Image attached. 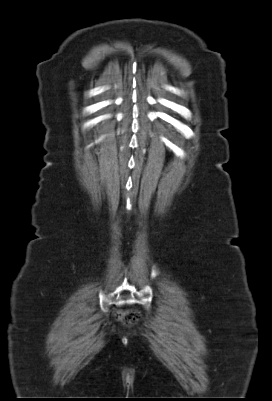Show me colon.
<instances>
[{
  "label": "colon",
  "instance_id": "obj_1",
  "mask_svg": "<svg viewBox=\"0 0 272 401\" xmlns=\"http://www.w3.org/2000/svg\"><path fill=\"white\" fill-rule=\"evenodd\" d=\"M116 316L120 321L127 325L134 324L138 320V315L133 310L118 312Z\"/></svg>",
  "mask_w": 272,
  "mask_h": 401
}]
</instances>
